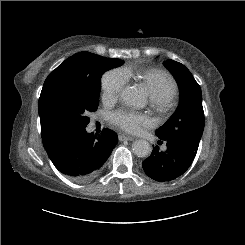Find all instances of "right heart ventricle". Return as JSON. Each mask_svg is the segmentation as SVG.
Listing matches in <instances>:
<instances>
[{
	"label": "right heart ventricle",
	"mask_w": 245,
	"mask_h": 245,
	"mask_svg": "<svg viewBox=\"0 0 245 245\" xmlns=\"http://www.w3.org/2000/svg\"><path fill=\"white\" fill-rule=\"evenodd\" d=\"M124 73L126 78L132 75L128 69H125ZM138 77L147 87L151 96L166 91L171 93L173 97L176 94L177 86L174 79L163 70L156 68L143 70L138 73Z\"/></svg>",
	"instance_id": "obj_1"
}]
</instances>
